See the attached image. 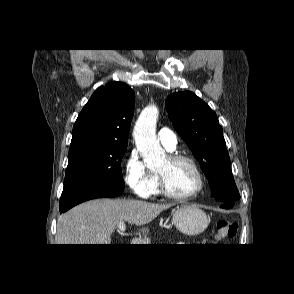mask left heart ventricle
Returning <instances> with one entry per match:
<instances>
[{
  "instance_id": "1",
  "label": "left heart ventricle",
  "mask_w": 294,
  "mask_h": 294,
  "mask_svg": "<svg viewBox=\"0 0 294 294\" xmlns=\"http://www.w3.org/2000/svg\"><path fill=\"white\" fill-rule=\"evenodd\" d=\"M158 173L165 177L170 190L176 194H189L198 184L193 168L185 162L171 164L166 159Z\"/></svg>"
}]
</instances>
